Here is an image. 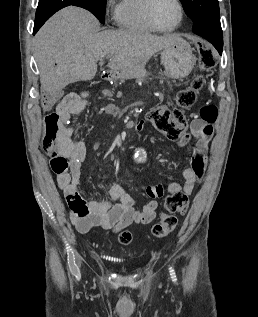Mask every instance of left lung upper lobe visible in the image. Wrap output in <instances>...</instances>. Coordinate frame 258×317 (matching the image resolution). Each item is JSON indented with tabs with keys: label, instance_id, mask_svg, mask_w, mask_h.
I'll use <instances>...</instances> for the list:
<instances>
[{
	"label": "left lung upper lobe",
	"instance_id": "1",
	"mask_svg": "<svg viewBox=\"0 0 258 317\" xmlns=\"http://www.w3.org/2000/svg\"><path fill=\"white\" fill-rule=\"evenodd\" d=\"M186 14L194 22L193 28H221L218 0H180Z\"/></svg>",
	"mask_w": 258,
	"mask_h": 317
}]
</instances>
